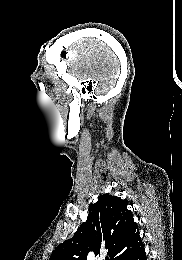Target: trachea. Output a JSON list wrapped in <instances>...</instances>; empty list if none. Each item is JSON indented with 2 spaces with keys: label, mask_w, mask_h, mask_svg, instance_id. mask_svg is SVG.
I'll return each mask as SVG.
<instances>
[{
  "label": "trachea",
  "mask_w": 182,
  "mask_h": 260,
  "mask_svg": "<svg viewBox=\"0 0 182 260\" xmlns=\"http://www.w3.org/2000/svg\"><path fill=\"white\" fill-rule=\"evenodd\" d=\"M105 260H109V258H108V257H106V258H105Z\"/></svg>",
  "instance_id": "trachea-1"
}]
</instances>
